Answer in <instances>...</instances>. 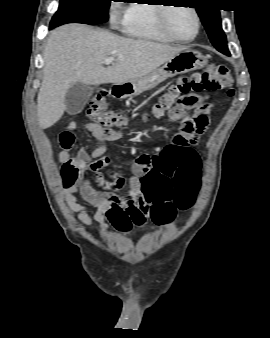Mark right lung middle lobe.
<instances>
[{"label":"right lung middle lobe","instance_id":"right-lung-middle-lobe-1","mask_svg":"<svg viewBox=\"0 0 270 338\" xmlns=\"http://www.w3.org/2000/svg\"><path fill=\"white\" fill-rule=\"evenodd\" d=\"M112 0H60L50 28L66 23L89 25L104 23L108 20V9Z\"/></svg>","mask_w":270,"mask_h":338}]
</instances>
